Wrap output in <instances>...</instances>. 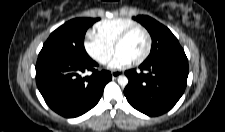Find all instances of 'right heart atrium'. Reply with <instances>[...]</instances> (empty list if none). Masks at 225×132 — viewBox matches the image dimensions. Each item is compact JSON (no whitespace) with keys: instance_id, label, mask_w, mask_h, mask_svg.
Here are the masks:
<instances>
[{"instance_id":"obj_1","label":"right heart atrium","mask_w":225,"mask_h":132,"mask_svg":"<svg viewBox=\"0 0 225 132\" xmlns=\"http://www.w3.org/2000/svg\"><path fill=\"white\" fill-rule=\"evenodd\" d=\"M84 49L86 53L97 63L107 64L114 52V48L101 40L95 35H88L84 41Z\"/></svg>"}]
</instances>
